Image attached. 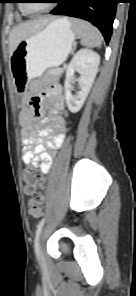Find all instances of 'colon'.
Instances as JSON below:
<instances>
[{
  "instance_id": "1",
  "label": "colon",
  "mask_w": 136,
  "mask_h": 296,
  "mask_svg": "<svg viewBox=\"0 0 136 296\" xmlns=\"http://www.w3.org/2000/svg\"><path fill=\"white\" fill-rule=\"evenodd\" d=\"M25 191L31 195L28 203L29 212L33 216H38L44 205L45 179L39 176L32 168H28L24 173Z\"/></svg>"
}]
</instances>
